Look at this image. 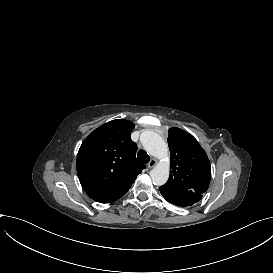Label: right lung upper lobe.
<instances>
[{"instance_id":"cb5924a9","label":"right lung upper lobe","mask_w":273,"mask_h":273,"mask_svg":"<svg viewBox=\"0 0 273 273\" xmlns=\"http://www.w3.org/2000/svg\"><path fill=\"white\" fill-rule=\"evenodd\" d=\"M134 123L112 120L94 130L77 155V174L85 192L95 201L110 203L129 190L145 166L136 159L130 138Z\"/></svg>"}]
</instances>
